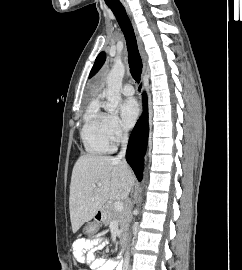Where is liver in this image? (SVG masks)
Returning <instances> with one entry per match:
<instances>
[{
	"label": "liver",
	"instance_id": "obj_1",
	"mask_svg": "<svg viewBox=\"0 0 242 270\" xmlns=\"http://www.w3.org/2000/svg\"><path fill=\"white\" fill-rule=\"evenodd\" d=\"M101 183L102 186H96ZM134 175L125 161L111 156L83 155L71 177L69 209L73 233L101 211L108 200H125Z\"/></svg>",
	"mask_w": 242,
	"mask_h": 270
}]
</instances>
